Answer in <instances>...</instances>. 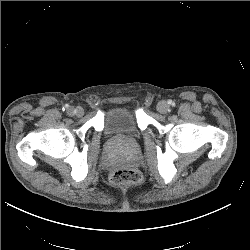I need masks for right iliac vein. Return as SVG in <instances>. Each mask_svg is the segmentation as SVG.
<instances>
[{"label": "right iliac vein", "mask_w": 250, "mask_h": 250, "mask_svg": "<svg viewBox=\"0 0 250 250\" xmlns=\"http://www.w3.org/2000/svg\"><path fill=\"white\" fill-rule=\"evenodd\" d=\"M68 114L71 116L76 115L78 117H81L84 114V110L82 107H77V108L70 107L68 108Z\"/></svg>", "instance_id": "63e3f726"}]
</instances>
